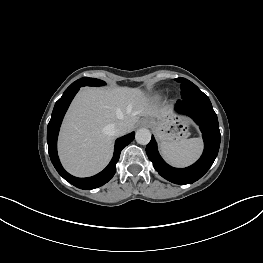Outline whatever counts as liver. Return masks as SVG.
<instances>
[{
	"label": "liver",
	"instance_id": "1",
	"mask_svg": "<svg viewBox=\"0 0 263 263\" xmlns=\"http://www.w3.org/2000/svg\"><path fill=\"white\" fill-rule=\"evenodd\" d=\"M173 108L153 107L138 88H84L63 122L59 156L64 168L74 176L88 177L100 172L110 161L113 138L106 127L122 121L131 131L141 116L167 120Z\"/></svg>",
	"mask_w": 263,
	"mask_h": 263
}]
</instances>
